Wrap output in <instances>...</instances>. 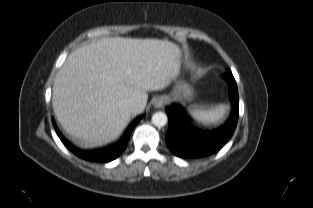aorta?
<instances>
[{
    "label": "aorta",
    "instance_id": "1",
    "mask_svg": "<svg viewBox=\"0 0 313 208\" xmlns=\"http://www.w3.org/2000/svg\"><path fill=\"white\" fill-rule=\"evenodd\" d=\"M168 117L163 112H156L152 116V123L157 127H163L166 125Z\"/></svg>",
    "mask_w": 313,
    "mask_h": 208
}]
</instances>
